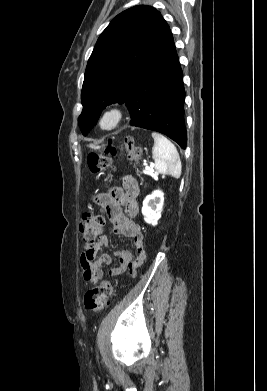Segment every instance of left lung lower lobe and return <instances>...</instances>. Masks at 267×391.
I'll list each match as a JSON object with an SVG mask.
<instances>
[{
	"label": "left lung lower lobe",
	"instance_id": "1",
	"mask_svg": "<svg viewBox=\"0 0 267 391\" xmlns=\"http://www.w3.org/2000/svg\"><path fill=\"white\" fill-rule=\"evenodd\" d=\"M183 73L174 41L156 58L125 101L130 125L163 133L185 149Z\"/></svg>",
	"mask_w": 267,
	"mask_h": 391
}]
</instances>
